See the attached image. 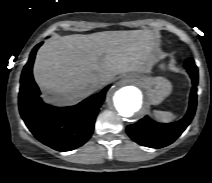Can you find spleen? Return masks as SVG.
Here are the masks:
<instances>
[{"label": "spleen", "mask_w": 212, "mask_h": 183, "mask_svg": "<svg viewBox=\"0 0 212 183\" xmlns=\"http://www.w3.org/2000/svg\"><path fill=\"white\" fill-rule=\"evenodd\" d=\"M153 113L155 118L161 122H170L175 118L174 114L169 111L154 110Z\"/></svg>", "instance_id": "obj_1"}]
</instances>
